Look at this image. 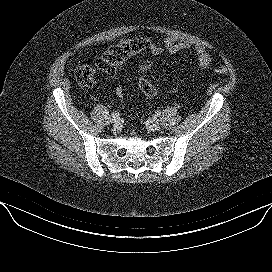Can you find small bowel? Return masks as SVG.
<instances>
[{"label":"small bowel","mask_w":272,"mask_h":272,"mask_svg":"<svg viewBox=\"0 0 272 272\" xmlns=\"http://www.w3.org/2000/svg\"><path fill=\"white\" fill-rule=\"evenodd\" d=\"M147 48L154 54L160 55L165 52L176 54L178 52L194 49L196 62L202 69H207L211 64V57L205 47L194 45L189 40H180L174 36L167 37L160 41H147Z\"/></svg>","instance_id":"obj_1"}]
</instances>
